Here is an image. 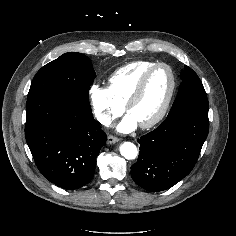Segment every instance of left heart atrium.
Returning <instances> with one entry per match:
<instances>
[{
    "label": "left heart atrium",
    "instance_id": "1",
    "mask_svg": "<svg viewBox=\"0 0 236 236\" xmlns=\"http://www.w3.org/2000/svg\"><path fill=\"white\" fill-rule=\"evenodd\" d=\"M138 125L137 119L128 113L117 126V130L121 133H128L135 130Z\"/></svg>",
    "mask_w": 236,
    "mask_h": 236
}]
</instances>
